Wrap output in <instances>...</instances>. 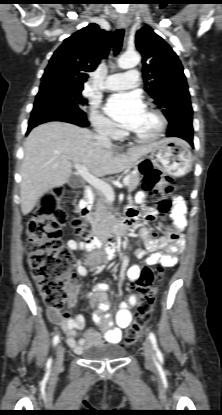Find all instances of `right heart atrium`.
Masks as SVG:
<instances>
[{
	"mask_svg": "<svg viewBox=\"0 0 222 415\" xmlns=\"http://www.w3.org/2000/svg\"><path fill=\"white\" fill-rule=\"evenodd\" d=\"M92 126L99 134L115 138L119 135L117 126L107 117L93 109L90 114Z\"/></svg>",
	"mask_w": 222,
	"mask_h": 415,
	"instance_id": "1",
	"label": "right heart atrium"
}]
</instances>
